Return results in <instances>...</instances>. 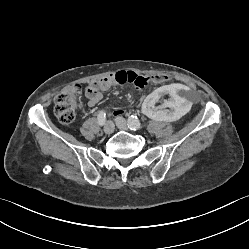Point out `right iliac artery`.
Returning <instances> with one entry per match:
<instances>
[{
	"mask_svg": "<svg viewBox=\"0 0 249 249\" xmlns=\"http://www.w3.org/2000/svg\"><path fill=\"white\" fill-rule=\"evenodd\" d=\"M97 119H98L99 125H101V126L104 125L105 122H106V113H105V111H100L99 114H98Z\"/></svg>",
	"mask_w": 249,
	"mask_h": 249,
	"instance_id": "obj_1",
	"label": "right iliac artery"
}]
</instances>
